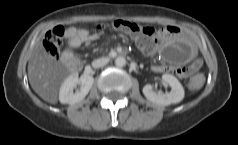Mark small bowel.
<instances>
[{"mask_svg":"<svg viewBox=\"0 0 238 145\" xmlns=\"http://www.w3.org/2000/svg\"><path fill=\"white\" fill-rule=\"evenodd\" d=\"M167 31L171 32L172 29L168 28ZM70 38L73 42H78L80 40H95L97 36L95 34H87L83 30H76L70 33ZM200 67L199 60H193L186 65H182L174 69L173 71L179 76L185 77L190 74L195 73ZM156 71H167L168 68L163 65H157L154 67Z\"/></svg>","mask_w":238,"mask_h":145,"instance_id":"obj_1","label":"small bowel"}]
</instances>
